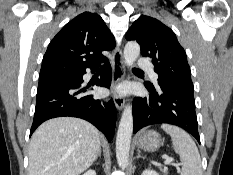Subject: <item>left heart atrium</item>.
<instances>
[{"instance_id":"1","label":"left heart atrium","mask_w":233,"mask_h":175,"mask_svg":"<svg viewBox=\"0 0 233 175\" xmlns=\"http://www.w3.org/2000/svg\"><path fill=\"white\" fill-rule=\"evenodd\" d=\"M119 91H120V92H124V91H125V87H120V88H119Z\"/></svg>"}]
</instances>
